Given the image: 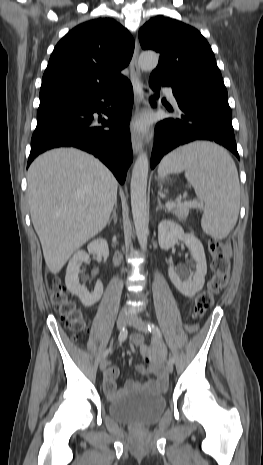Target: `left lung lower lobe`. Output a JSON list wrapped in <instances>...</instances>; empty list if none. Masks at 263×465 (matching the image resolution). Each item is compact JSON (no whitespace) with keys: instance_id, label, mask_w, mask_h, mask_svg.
<instances>
[{"instance_id":"1","label":"left lung lower lobe","mask_w":263,"mask_h":465,"mask_svg":"<svg viewBox=\"0 0 263 465\" xmlns=\"http://www.w3.org/2000/svg\"><path fill=\"white\" fill-rule=\"evenodd\" d=\"M149 85L153 90L160 86L172 87L179 107L176 117L160 121L155 128L158 145L152 151V169L174 148L196 140L216 142L239 159L228 98L209 95L200 97L192 86L171 84L159 76H150ZM156 96H159L158 92ZM150 103L156 105L153 99H150Z\"/></svg>"}]
</instances>
